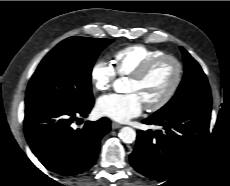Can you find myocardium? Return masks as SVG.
Returning a JSON list of instances; mask_svg holds the SVG:
<instances>
[{"mask_svg": "<svg viewBox=\"0 0 230 186\" xmlns=\"http://www.w3.org/2000/svg\"><path fill=\"white\" fill-rule=\"evenodd\" d=\"M169 61L172 62L175 66V77L174 80L168 89V91L164 94V96L158 100L157 102L153 104L146 105V110L150 112H155L163 107H165L175 96L176 92L178 91L182 80H183V74L184 69L182 63L177 59L175 56L172 55H162L159 57H156L154 59H151L147 63H145L137 72H135L133 75L130 76V78L134 81H143L146 79L152 71L161 63Z\"/></svg>", "mask_w": 230, "mask_h": 186, "instance_id": "1", "label": "myocardium"}]
</instances>
